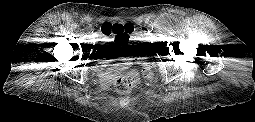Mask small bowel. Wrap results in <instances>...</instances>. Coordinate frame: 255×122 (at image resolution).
Here are the masks:
<instances>
[{
	"label": "small bowel",
	"mask_w": 255,
	"mask_h": 122,
	"mask_svg": "<svg viewBox=\"0 0 255 122\" xmlns=\"http://www.w3.org/2000/svg\"><path fill=\"white\" fill-rule=\"evenodd\" d=\"M111 23H105L102 25L101 27V35H104V33L102 32V28L104 25H110ZM106 36V35H105ZM105 43L102 44V54L101 56L106 58L109 56V51L112 50L113 48H123L128 46L129 44V38L123 36V35H115V34H111L108 36V38L106 40H104ZM121 66H115L112 69H110L108 71V76L109 77H113L115 75V73H117L118 71H120Z\"/></svg>",
	"instance_id": "1"
}]
</instances>
